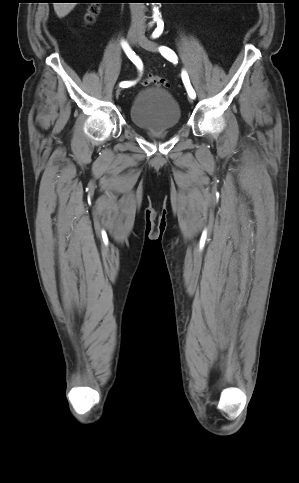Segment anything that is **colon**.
<instances>
[{
    "mask_svg": "<svg viewBox=\"0 0 299 483\" xmlns=\"http://www.w3.org/2000/svg\"><path fill=\"white\" fill-rule=\"evenodd\" d=\"M99 12V8L96 5H92L88 8L84 20L87 25L92 24L96 16ZM143 83L145 85H150V86H158V87H167L168 82L166 79L158 76V75H153V74H148L145 79L143 80Z\"/></svg>",
    "mask_w": 299,
    "mask_h": 483,
    "instance_id": "colon-1",
    "label": "colon"
}]
</instances>
